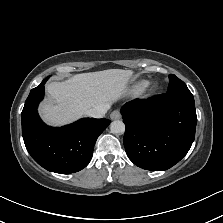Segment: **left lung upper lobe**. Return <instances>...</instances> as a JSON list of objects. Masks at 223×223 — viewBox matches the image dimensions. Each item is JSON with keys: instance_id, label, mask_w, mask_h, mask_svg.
<instances>
[{"instance_id": "obj_1", "label": "left lung upper lobe", "mask_w": 223, "mask_h": 223, "mask_svg": "<svg viewBox=\"0 0 223 223\" xmlns=\"http://www.w3.org/2000/svg\"><path fill=\"white\" fill-rule=\"evenodd\" d=\"M168 93L192 94L186 84L173 74L169 75Z\"/></svg>"}]
</instances>
